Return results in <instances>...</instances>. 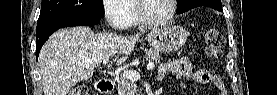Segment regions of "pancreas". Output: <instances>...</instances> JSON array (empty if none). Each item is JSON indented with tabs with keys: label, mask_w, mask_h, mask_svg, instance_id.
Instances as JSON below:
<instances>
[{
	"label": "pancreas",
	"mask_w": 277,
	"mask_h": 95,
	"mask_svg": "<svg viewBox=\"0 0 277 95\" xmlns=\"http://www.w3.org/2000/svg\"><path fill=\"white\" fill-rule=\"evenodd\" d=\"M146 60L148 62L158 63L161 60V55L159 54L158 51L149 50L147 53ZM117 86H118V91L120 92L121 95H138L139 94V90H138V87H137L135 81L129 80L124 76H120L117 79Z\"/></svg>",
	"instance_id": "pancreas-1"
}]
</instances>
